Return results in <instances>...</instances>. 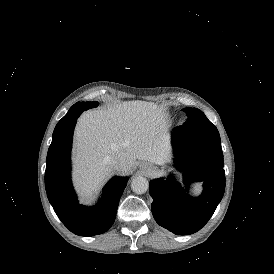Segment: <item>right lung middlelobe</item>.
Returning a JSON list of instances; mask_svg holds the SVG:
<instances>
[{
    "label": "right lung middle lobe",
    "mask_w": 274,
    "mask_h": 274,
    "mask_svg": "<svg viewBox=\"0 0 274 274\" xmlns=\"http://www.w3.org/2000/svg\"><path fill=\"white\" fill-rule=\"evenodd\" d=\"M77 104L84 105L86 107L85 110H87L89 108H95V107H97L99 105L98 102H78ZM59 129H60V126L56 125L54 133L57 132Z\"/></svg>",
    "instance_id": "obj_1"
}]
</instances>
